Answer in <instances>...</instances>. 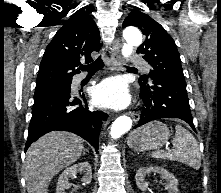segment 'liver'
Listing matches in <instances>:
<instances>
[{
	"instance_id": "liver-1",
	"label": "liver",
	"mask_w": 221,
	"mask_h": 193,
	"mask_svg": "<svg viewBox=\"0 0 221 193\" xmlns=\"http://www.w3.org/2000/svg\"><path fill=\"white\" fill-rule=\"evenodd\" d=\"M82 151V139L70 132L52 131L33 142L24 162L27 193H47L51 179Z\"/></svg>"
}]
</instances>
